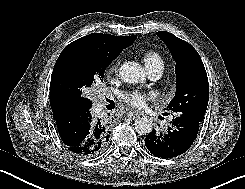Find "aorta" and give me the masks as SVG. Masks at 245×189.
Instances as JSON below:
<instances>
[{
    "label": "aorta",
    "mask_w": 245,
    "mask_h": 189,
    "mask_svg": "<svg viewBox=\"0 0 245 189\" xmlns=\"http://www.w3.org/2000/svg\"><path fill=\"white\" fill-rule=\"evenodd\" d=\"M120 78L130 84L142 82L145 79V74L142 67L132 61L125 62L120 67ZM153 129V123L146 117H139L134 122V130L140 135H147Z\"/></svg>",
    "instance_id": "obj_1"
}]
</instances>
